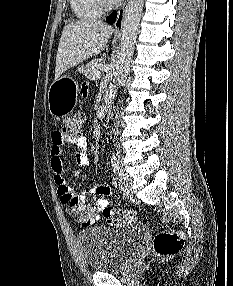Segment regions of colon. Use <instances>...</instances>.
<instances>
[{
	"instance_id": "5ec220e1",
	"label": "colon",
	"mask_w": 233,
	"mask_h": 286,
	"mask_svg": "<svg viewBox=\"0 0 233 286\" xmlns=\"http://www.w3.org/2000/svg\"><path fill=\"white\" fill-rule=\"evenodd\" d=\"M84 117L80 113L68 116L63 119L58 134L62 137H80L83 132ZM79 200L71 199L69 209L75 211L76 216L90 225L93 209L88 207L78 210ZM107 224L120 226L136 222L137 214L132 210H122L114 214L108 207L101 210ZM184 237L179 231L161 232L157 235L154 243L155 251L158 255L168 256L176 253L183 245Z\"/></svg>"
}]
</instances>
